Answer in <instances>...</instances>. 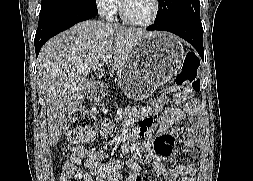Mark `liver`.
Masks as SVG:
<instances>
[{"instance_id":"6515ba94","label":"liver","mask_w":253,"mask_h":181,"mask_svg":"<svg viewBox=\"0 0 253 181\" xmlns=\"http://www.w3.org/2000/svg\"><path fill=\"white\" fill-rule=\"evenodd\" d=\"M154 33L116 23L88 20L45 43L36 66L47 106L51 146L58 143L68 117L78 111L85 97L92 91L93 82L81 67L94 69L106 54H114L110 67L119 71L132 48Z\"/></svg>"}]
</instances>
